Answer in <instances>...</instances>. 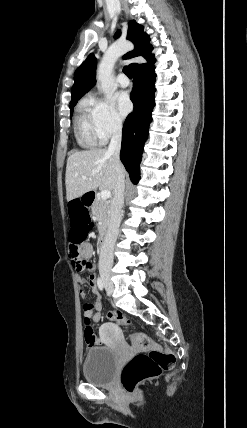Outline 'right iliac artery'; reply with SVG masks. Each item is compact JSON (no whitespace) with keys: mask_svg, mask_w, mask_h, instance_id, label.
Instances as JSON below:
<instances>
[{"mask_svg":"<svg viewBox=\"0 0 247 428\" xmlns=\"http://www.w3.org/2000/svg\"><path fill=\"white\" fill-rule=\"evenodd\" d=\"M97 285L101 291L104 289V283H103V280L101 278L97 279Z\"/></svg>","mask_w":247,"mask_h":428,"instance_id":"right-iliac-artery-1","label":"right iliac artery"}]
</instances>
